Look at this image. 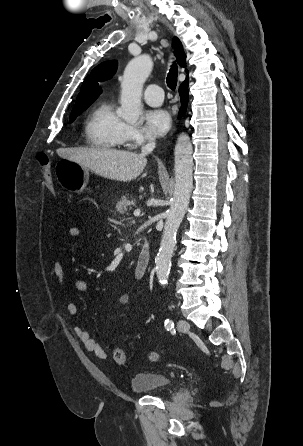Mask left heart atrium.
I'll return each instance as SVG.
<instances>
[{
    "instance_id": "obj_1",
    "label": "left heart atrium",
    "mask_w": 303,
    "mask_h": 446,
    "mask_svg": "<svg viewBox=\"0 0 303 446\" xmlns=\"http://www.w3.org/2000/svg\"><path fill=\"white\" fill-rule=\"evenodd\" d=\"M146 129L155 136L164 135L170 127L171 118L163 109L149 110L144 115Z\"/></svg>"
}]
</instances>
